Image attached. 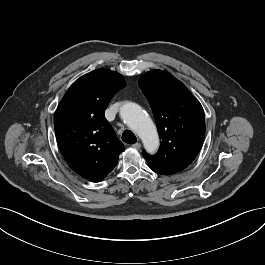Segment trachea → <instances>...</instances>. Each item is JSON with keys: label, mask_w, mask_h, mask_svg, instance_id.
<instances>
[{"label": "trachea", "mask_w": 265, "mask_h": 265, "mask_svg": "<svg viewBox=\"0 0 265 265\" xmlns=\"http://www.w3.org/2000/svg\"><path fill=\"white\" fill-rule=\"evenodd\" d=\"M122 140L127 144H134L137 142L135 134L130 130H126L123 132Z\"/></svg>", "instance_id": "obj_1"}]
</instances>
